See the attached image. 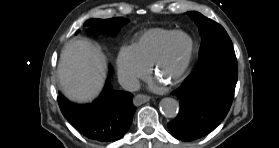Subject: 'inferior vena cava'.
I'll list each match as a JSON object with an SVG mask.
<instances>
[{"label":"inferior vena cava","mask_w":279,"mask_h":148,"mask_svg":"<svg viewBox=\"0 0 279 148\" xmlns=\"http://www.w3.org/2000/svg\"><path fill=\"white\" fill-rule=\"evenodd\" d=\"M120 85L129 92H135L140 88V82L137 78L131 75L121 74L118 76Z\"/></svg>","instance_id":"1"}]
</instances>
